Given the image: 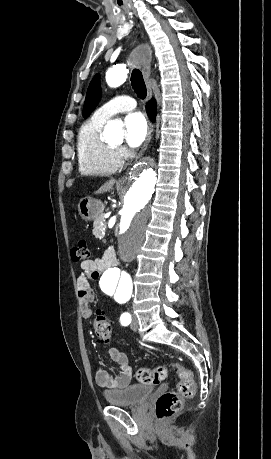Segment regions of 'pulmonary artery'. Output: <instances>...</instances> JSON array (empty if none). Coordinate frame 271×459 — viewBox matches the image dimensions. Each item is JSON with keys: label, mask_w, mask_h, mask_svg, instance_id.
<instances>
[{"label": "pulmonary artery", "mask_w": 271, "mask_h": 459, "mask_svg": "<svg viewBox=\"0 0 271 459\" xmlns=\"http://www.w3.org/2000/svg\"><path fill=\"white\" fill-rule=\"evenodd\" d=\"M136 108L135 98L127 97L126 95H117L111 99L94 113V117L98 120L105 121L117 113L129 112Z\"/></svg>", "instance_id": "pulmonary-artery-1"}]
</instances>
